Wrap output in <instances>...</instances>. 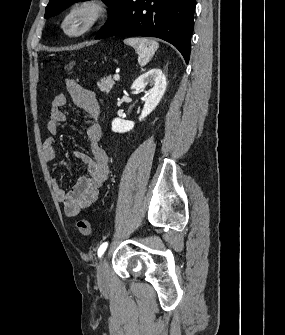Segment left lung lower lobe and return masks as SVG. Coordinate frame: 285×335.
<instances>
[{
  "label": "left lung lower lobe",
  "instance_id": "obj_1",
  "mask_svg": "<svg viewBox=\"0 0 285 335\" xmlns=\"http://www.w3.org/2000/svg\"><path fill=\"white\" fill-rule=\"evenodd\" d=\"M194 10L195 0H120L95 39L157 37L174 45L188 63Z\"/></svg>",
  "mask_w": 285,
  "mask_h": 335
}]
</instances>
